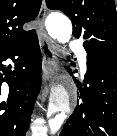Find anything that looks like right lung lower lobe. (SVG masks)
<instances>
[{
    "label": "right lung lower lobe",
    "instance_id": "98d812e1",
    "mask_svg": "<svg viewBox=\"0 0 117 136\" xmlns=\"http://www.w3.org/2000/svg\"><path fill=\"white\" fill-rule=\"evenodd\" d=\"M40 83L41 52L34 32L0 51V136H25Z\"/></svg>",
    "mask_w": 117,
    "mask_h": 136
}]
</instances>
